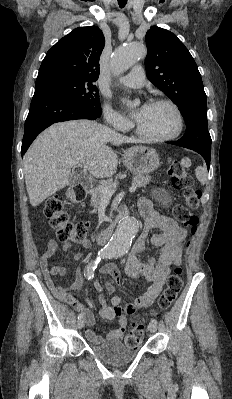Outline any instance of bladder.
Listing matches in <instances>:
<instances>
[{"label": "bladder", "mask_w": 232, "mask_h": 399, "mask_svg": "<svg viewBox=\"0 0 232 399\" xmlns=\"http://www.w3.org/2000/svg\"><path fill=\"white\" fill-rule=\"evenodd\" d=\"M90 349L98 358L114 365L127 363L138 354V349L130 348L119 340L91 345Z\"/></svg>", "instance_id": "1"}]
</instances>
